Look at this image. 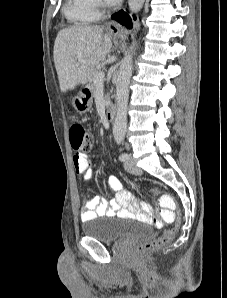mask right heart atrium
<instances>
[{
  "label": "right heart atrium",
  "mask_w": 227,
  "mask_h": 298,
  "mask_svg": "<svg viewBox=\"0 0 227 298\" xmlns=\"http://www.w3.org/2000/svg\"><path fill=\"white\" fill-rule=\"evenodd\" d=\"M94 7L97 8L99 6V1L98 0H91Z\"/></svg>",
  "instance_id": "d8ad5b80"
}]
</instances>
